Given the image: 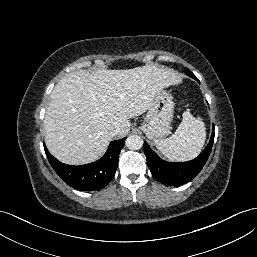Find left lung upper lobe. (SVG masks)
<instances>
[{
  "label": "left lung upper lobe",
  "instance_id": "5c2ea615",
  "mask_svg": "<svg viewBox=\"0 0 257 257\" xmlns=\"http://www.w3.org/2000/svg\"><path fill=\"white\" fill-rule=\"evenodd\" d=\"M185 73H186V75H188V76H190L192 78L195 77V75L188 68H185Z\"/></svg>",
  "mask_w": 257,
  "mask_h": 257
}]
</instances>
